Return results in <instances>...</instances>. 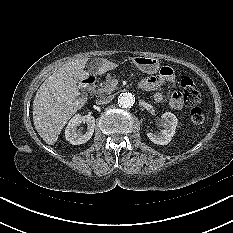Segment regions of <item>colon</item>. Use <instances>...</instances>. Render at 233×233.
Wrapping results in <instances>:
<instances>
[{
  "mask_svg": "<svg viewBox=\"0 0 233 233\" xmlns=\"http://www.w3.org/2000/svg\"><path fill=\"white\" fill-rule=\"evenodd\" d=\"M180 85L182 88V96L184 101L192 106L191 120L194 124H202L205 119L204 112L199 103L201 101L200 93L193 79L189 76L183 75L180 78Z\"/></svg>",
  "mask_w": 233,
  "mask_h": 233,
  "instance_id": "5ec220e1",
  "label": "colon"
}]
</instances>
